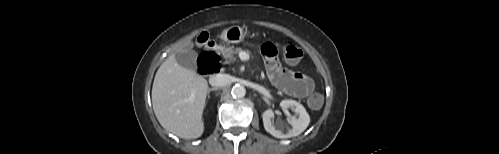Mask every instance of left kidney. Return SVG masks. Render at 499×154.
Segmentation results:
<instances>
[{
  "label": "left kidney",
  "instance_id": "5707ae66",
  "mask_svg": "<svg viewBox=\"0 0 499 154\" xmlns=\"http://www.w3.org/2000/svg\"><path fill=\"white\" fill-rule=\"evenodd\" d=\"M280 107L283 111H287L289 108L296 113L297 116H292L290 124L292 129L285 133L282 129L276 128L272 123L271 119L274 116V112L268 109L263 112L262 119L265 130L276 138H291L301 134L309 125L310 117L306 112L303 105L299 102L291 99L283 100L280 103Z\"/></svg>",
  "mask_w": 499,
  "mask_h": 154
}]
</instances>
